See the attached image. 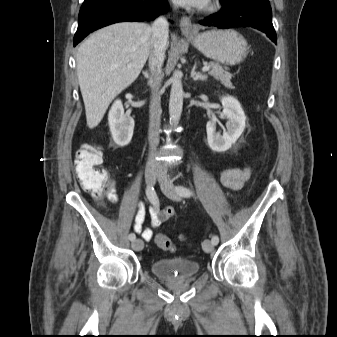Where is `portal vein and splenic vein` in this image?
Returning a JSON list of instances; mask_svg holds the SVG:
<instances>
[{"instance_id":"1","label":"portal vein and splenic vein","mask_w":337,"mask_h":337,"mask_svg":"<svg viewBox=\"0 0 337 337\" xmlns=\"http://www.w3.org/2000/svg\"><path fill=\"white\" fill-rule=\"evenodd\" d=\"M202 70H203L204 72H207V71L210 70V67H209V66H204V67L202 68Z\"/></svg>"}]
</instances>
